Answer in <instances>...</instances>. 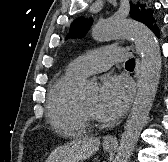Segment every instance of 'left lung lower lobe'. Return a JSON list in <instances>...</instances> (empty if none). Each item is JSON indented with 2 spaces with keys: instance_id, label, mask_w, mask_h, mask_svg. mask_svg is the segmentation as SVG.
I'll return each mask as SVG.
<instances>
[{
  "instance_id": "left-lung-lower-lobe-1",
  "label": "left lung lower lobe",
  "mask_w": 168,
  "mask_h": 162,
  "mask_svg": "<svg viewBox=\"0 0 168 162\" xmlns=\"http://www.w3.org/2000/svg\"><path fill=\"white\" fill-rule=\"evenodd\" d=\"M149 28L159 37V29L156 24L152 23Z\"/></svg>"
}]
</instances>
